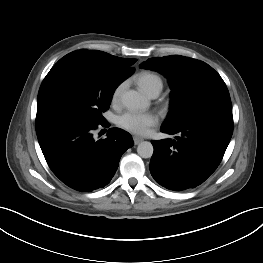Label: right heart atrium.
I'll list each match as a JSON object with an SVG mask.
<instances>
[{
  "mask_svg": "<svg viewBox=\"0 0 263 263\" xmlns=\"http://www.w3.org/2000/svg\"><path fill=\"white\" fill-rule=\"evenodd\" d=\"M122 90H123V85H118L114 90H113V93H112V96H111V99H112V102H117L119 99H120V96H121V93H122Z\"/></svg>",
  "mask_w": 263,
  "mask_h": 263,
  "instance_id": "d8ad5b80",
  "label": "right heart atrium"
}]
</instances>
